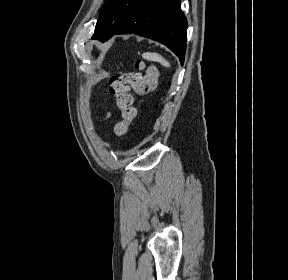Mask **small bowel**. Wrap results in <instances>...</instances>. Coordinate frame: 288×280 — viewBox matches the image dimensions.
<instances>
[{"label": "small bowel", "mask_w": 288, "mask_h": 280, "mask_svg": "<svg viewBox=\"0 0 288 280\" xmlns=\"http://www.w3.org/2000/svg\"><path fill=\"white\" fill-rule=\"evenodd\" d=\"M108 117H109V114H107L105 118L107 119Z\"/></svg>", "instance_id": "1"}]
</instances>
